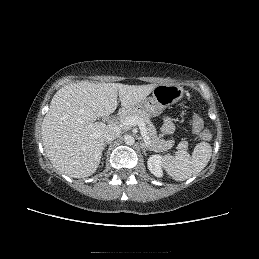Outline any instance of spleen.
<instances>
[{
    "label": "spleen",
    "instance_id": "1",
    "mask_svg": "<svg viewBox=\"0 0 259 259\" xmlns=\"http://www.w3.org/2000/svg\"><path fill=\"white\" fill-rule=\"evenodd\" d=\"M211 154V145L207 142H200L195 146L192 155L179 150L174 157H165L163 166L174 180L184 181L202 171L208 164Z\"/></svg>",
    "mask_w": 259,
    "mask_h": 259
}]
</instances>
